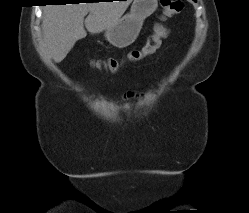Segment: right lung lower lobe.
<instances>
[{
	"label": "right lung lower lobe",
	"mask_w": 249,
	"mask_h": 213,
	"mask_svg": "<svg viewBox=\"0 0 249 213\" xmlns=\"http://www.w3.org/2000/svg\"><path fill=\"white\" fill-rule=\"evenodd\" d=\"M48 2L65 3V0H49Z\"/></svg>",
	"instance_id": "1"
}]
</instances>
